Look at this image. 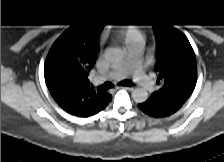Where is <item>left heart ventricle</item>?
I'll return each mask as SVG.
<instances>
[{
    "label": "left heart ventricle",
    "mask_w": 224,
    "mask_h": 162,
    "mask_svg": "<svg viewBox=\"0 0 224 162\" xmlns=\"http://www.w3.org/2000/svg\"><path fill=\"white\" fill-rule=\"evenodd\" d=\"M126 58L123 60V62L121 63V65H123L125 63Z\"/></svg>",
    "instance_id": "b2bd125f"
}]
</instances>
